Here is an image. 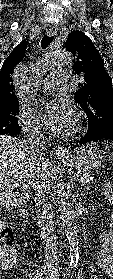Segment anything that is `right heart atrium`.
I'll use <instances>...</instances> for the list:
<instances>
[{
  "label": "right heart atrium",
  "instance_id": "d8ad5b80",
  "mask_svg": "<svg viewBox=\"0 0 113 279\" xmlns=\"http://www.w3.org/2000/svg\"><path fill=\"white\" fill-rule=\"evenodd\" d=\"M18 120L22 129L28 136L35 137L43 133V127L31 108L21 106L18 112Z\"/></svg>",
  "mask_w": 113,
  "mask_h": 279
}]
</instances>
